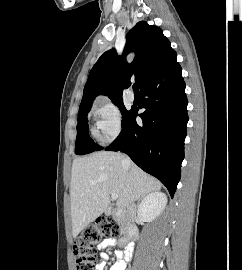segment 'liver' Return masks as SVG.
<instances>
[{
    "label": "liver",
    "mask_w": 242,
    "mask_h": 270,
    "mask_svg": "<svg viewBox=\"0 0 242 270\" xmlns=\"http://www.w3.org/2000/svg\"><path fill=\"white\" fill-rule=\"evenodd\" d=\"M123 159L118 152L101 151L73 161L70 197L74 238L107 209L110 194L118 195L117 207L126 208L161 188L157 179L134 163L125 167Z\"/></svg>",
    "instance_id": "liver-1"
}]
</instances>
